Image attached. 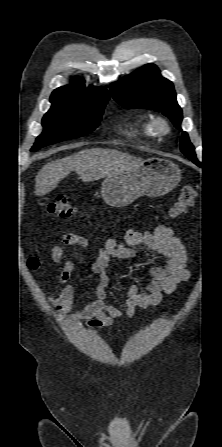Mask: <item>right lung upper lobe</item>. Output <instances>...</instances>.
<instances>
[{
  "label": "right lung upper lobe",
  "instance_id": "right-lung-upper-lobe-1",
  "mask_svg": "<svg viewBox=\"0 0 222 447\" xmlns=\"http://www.w3.org/2000/svg\"><path fill=\"white\" fill-rule=\"evenodd\" d=\"M84 82L85 81L83 79L73 78L72 84L68 86L59 87L52 94L67 95L78 98H92V97L109 98V93L104 87L90 86L86 88L84 86Z\"/></svg>",
  "mask_w": 222,
  "mask_h": 447
}]
</instances>
